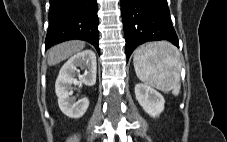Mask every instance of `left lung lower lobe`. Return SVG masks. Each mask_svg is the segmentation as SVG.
<instances>
[{"label":"left lung lower lobe","mask_w":227,"mask_h":142,"mask_svg":"<svg viewBox=\"0 0 227 142\" xmlns=\"http://www.w3.org/2000/svg\"><path fill=\"white\" fill-rule=\"evenodd\" d=\"M127 61L134 49L148 41L168 40L179 47L167 0H121Z\"/></svg>","instance_id":"left-lung-lower-lobe-1"}]
</instances>
